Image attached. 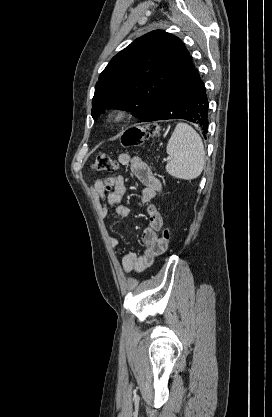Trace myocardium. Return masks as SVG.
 <instances>
[{"label":"myocardium","instance_id":"1","mask_svg":"<svg viewBox=\"0 0 272 417\" xmlns=\"http://www.w3.org/2000/svg\"><path fill=\"white\" fill-rule=\"evenodd\" d=\"M127 117V111L123 108H115L109 111L107 114V122L110 125H119L121 124Z\"/></svg>","mask_w":272,"mask_h":417}]
</instances>
